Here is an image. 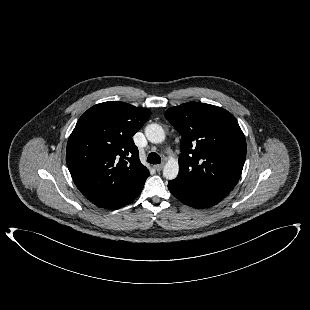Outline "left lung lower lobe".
I'll list each match as a JSON object with an SVG mask.
<instances>
[{
  "label": "left lung lower lobe",
  "mask_w": 310,
  "mask_h": 310,
  "mask_svg": "<svg viewBox=\"0 0 310 310\" xmlns=\"http://www.w3.org/2000/svg\"><path fill=\"white\" fill-rule=\"evenodd\" d=\"M168 189L178 200L194 208L211 207L225 198V195L196 188L176 179L169 181Z\"/></svg>",
  "instance_id": "1"
}]
</instances>
